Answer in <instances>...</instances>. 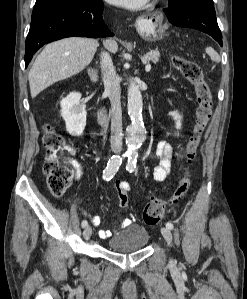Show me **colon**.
<instances>
[{"instance_id": "1", "label": "colon", "mask_w": 247, "mask_h": 299, "mask_svg": "<svg viewBox=\"0 0 247 299\" xmlns=\"http://www.w3.org/2000/svg\"><path fill=\"white\" fill-rule=\"evenodd\" d=\"M172 61L176 69L193 85L197 100L195 120L186 145V159L191 163L196 157L202 136L212 115V94L196 62L179 55H175ZM43 145L46 150L43 170L47 187L54 196H62L69 188L73 177L71 156L74 150L50 124L45 126ZM190 184V175L186 171L170 197L154 198L148 202L142 213L143 222L146 225L157 224L168 207L182 200Z\"/></svg>"}]
</instances>
